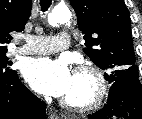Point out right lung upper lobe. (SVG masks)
Listing matches in <instances>:
<instances>
[{
	"mask_svg": "<svg viewBox=\"0 0 142 119\" xmlns=\"http://www.w3.org/2000/svg\"><path fill=\"white\" fill-rule=\"evenodd\" d=\"M31 0H0V52L12 40L10 32H20L30 17Z\"/></svg>",
	"mask_w": 142,
	"mask_h": 119,
	"instance_id": "right-lung-upper-lobe-1",
	"label": "right lung upper lobe"
}]
</instances>
